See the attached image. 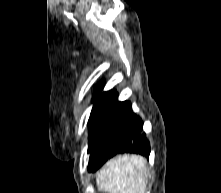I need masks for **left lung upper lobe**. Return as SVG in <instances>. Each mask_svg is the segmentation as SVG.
<instances>
[{
  "instance_id": "1",
  "label": "left lung upper lobe",
  "mask_w": 221,
  "mask_h": 193,
  "mask_svg": "<svg viewBox=\"0 0 221 193\" xmlns=\"http://www.w3.org/2000/svg\"><path fill=\"white\" fill-rule=\"evenodd\" d=\"M102 88L103 84L98 85L96 93L93 97L94 105L88 121L90 131L88 153H91L92 149L107 128L109 121L108 113L117 97L116 91L102 93Z\"/></svg>"
}]
</instances>
